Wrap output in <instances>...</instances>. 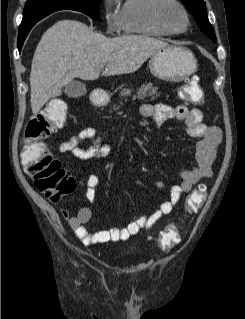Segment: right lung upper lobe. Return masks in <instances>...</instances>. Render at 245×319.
Here are the masks:
<instances>
[{
	"mask_svg": "<svg viewBox=\"0 0 245 319\" xmlns=\"http://www.w3.org/2000/svg\"><path fill=\"white\" fill-rule=\"evenodd\" d=\"M52 12H55V11H53V10L52 11H36L32 15L31 21L29 22L27 27L34 25L36 22H38L39 20L46 17L47 15H49ZM27 27H25V28H27ZM25 28H19V29H25Z\"/></svg>",
	"mask_w": 245,
	"mask_h": 319,
	"instance_id": "right-lung-upper-lobe-1",
	"label": "right lung upper lobe"
}]
</instances>
